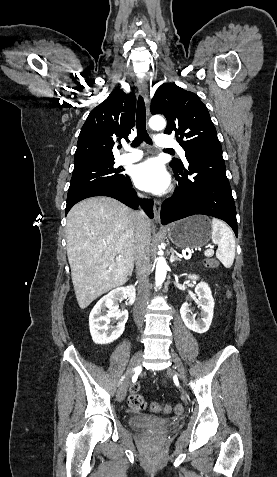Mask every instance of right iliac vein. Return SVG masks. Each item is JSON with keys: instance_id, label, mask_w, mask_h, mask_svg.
<instances>
[{"instance_id": "right-iliac-vein-1", "label": "right iliac vein", "mask_w": 277, "mask_h": 477, "mask_svg": "<svg viewBox=\"0 0 277 477\" xmlns=\"http://www.w3.org/2000/svg\"><path fill=\"white\" fill-rule=\"evenodd\" d=\"M142 357H143V352L142 351H138L136 352L133 357L131 358L130 360V363H129V366H128V373L126 375V377L124 378L123 382L121 383L119 389H118V392H117V398L119 401H123L125 396H126V393H127V388H128V384H129V379L133 373V370L140 364V362L142 361Z\"/></svg>"}]
</instances>
